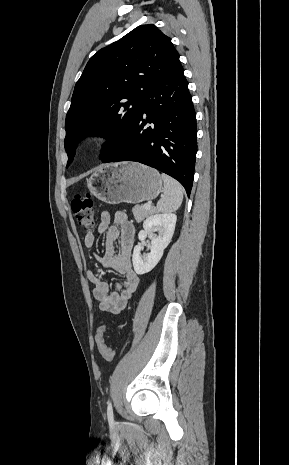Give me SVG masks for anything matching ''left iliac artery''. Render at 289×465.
I'll return each mask as SVG.
<instances>
[{
  "instance_id": "obj_1",
  "label": "left iliac artery",
  "mask_w": 289,
  "mask_h": 465,
  "mask_svg": "<svg viewBox=\"0 0 289 465\" xmlns=\"http://www.w3.org/2000/svg\"><path fill=\"white\" fill-rule=\"evenodd\" d=\"M107 417H108L109 423H110V424H113L114 418H113V409H112V404H111V402H108Z\"/></svg>"
}]
</instances>
